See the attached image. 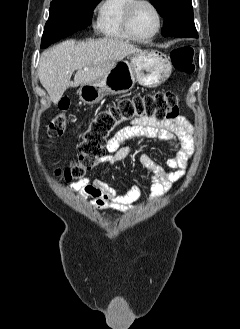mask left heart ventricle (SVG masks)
<instances>
[{"instance_id": "b2bd125f", "label": "left heart ventricle", "mask_w": 240, "mask_h": 329, "mask_svg": "<svg viewBox=\"0 0 240 329\" xmlns=\"http://www.w3.org/2000/svg\"><path fill=\"white\" fill-rule=\"evenodd\" d=\"M156 17L153 10L147 5H139L135 8L131 27L133 32L139 37H147L156 28Z\"/></svg>"}]
</instances>
